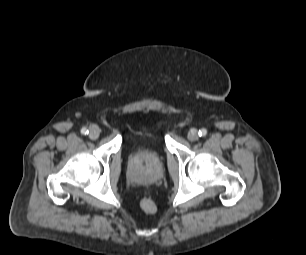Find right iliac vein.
<instances>
[{"label": "right iliac vein", "mask_w": 306, "mask_h": 255, "mask_svg": "<svg viewBox=\"0 0 306 255\" xmlns=\"http://www.w3.org/2000/svg\"><path fill=\"white\" fill-rule=\"evenodd\" d=\"M99 135H100L99 127L96 126V125L90 126V128H89V137L91 139H97L99 137Z\"/></svg>", "instance_id": "63e3f726"}]
</instances>
